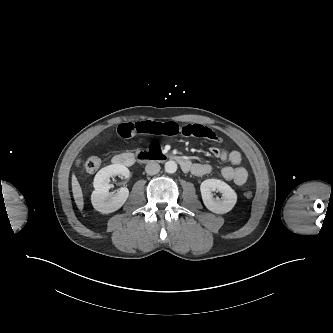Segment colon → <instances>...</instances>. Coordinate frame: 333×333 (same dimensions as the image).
Masks as SVG:
<instances>
[{
    "label": "colon",
    "mask_w": 333,
    "mask_h": 333,
    "mask_svg": "<svg viewBox=\"0 0 333 333\" xmlns=\"http://www.w3.org/2000/svg\"><path fill=\"white\" fill-rule=\"evenodd\" d=\"M101 161L96 156H91L86 158L84 161H80L79 165L82 167L83 171L87 174H92L96 172L100 167ZM245 198L250 199L252 197V192L246 191L244 193Z\"/></svg>",
    "instance_id": "5ec220e1"
}]
</instances>
